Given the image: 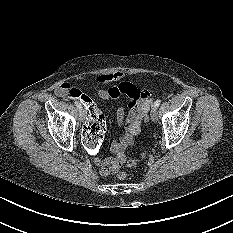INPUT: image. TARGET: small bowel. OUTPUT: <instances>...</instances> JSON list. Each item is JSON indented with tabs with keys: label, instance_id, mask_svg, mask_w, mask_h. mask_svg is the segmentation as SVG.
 <instances>
[{
	"label": "small bowel",
	"instance_id": "c3829d8e",
	"mask_svg": "<svg viewBox=\"0 0 233 233\" xmlns=\"http://www.w3.org/2000/svg\"><path fill=\"white\" fill-rule=\"evenodd\" d=\"M123 76V73L115 71L97 76L94 80L96 85L119 82L117 85L107 89L97 88V94L101 99L115 100L125 97L129 100L127 111L124 108H119L116 112L118 123L125 129L124 133L111 144V151L116 155L122 154L132 144L134 137L140 133L142 117L148 112L152 102L151 94L148 90H142L130 82L121 81ZM67 89L75 88L68 83H62L56 88V94L64 97V92ZM95 164L102 176L115 174L121 166L117 159L104 157H96Z\"/></svg>",
	"mask_w": 233,
	"mask_h": 233
}]
</instances>
